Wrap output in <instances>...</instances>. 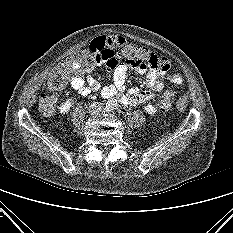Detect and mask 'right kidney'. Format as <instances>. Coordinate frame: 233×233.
<instances>
[{"label": "right kidney", "instance_id": "ca27d5eb", "mask_svg": "<svg viewBox=\"0 0 233 233\" xmlns=\"http://www.w3.org/2000/svg\"><path fill=\"white\" fill-rule=\"evenodd\" d=\"M74 104L73 99H68L59 107V111L62 114L68 113L72 105Z\"/></svg>", "mask_w": 233, "mask_h": 233}]
</instances>
